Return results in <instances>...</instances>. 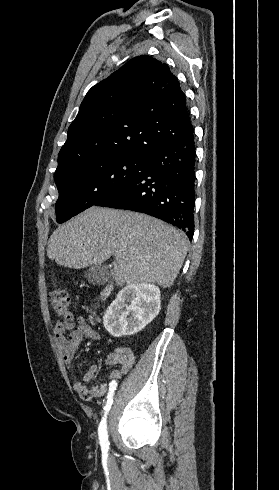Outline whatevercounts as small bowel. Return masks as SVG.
I'll use <instances>...</instances> for the list:
<instances>
[{"label":"small bowel","instance_id":"1","mask_svg":"<svg viewBox=\"0 0 279 490\" xmlns=\"http://www.w3.org/2000/svg\"><path fill=\"white\" fill-rule=\"evenodd\" d=\"M52 332L68 368H73L74 355L85 339L100 340L98 331L83 317H79L76 321L56 320L53 323ZM107 362L117 368L109 374L105 382L93 387L87 385L94 379L98 371L97 364H92L81 378L74 380L73 389L82 399L100 398L109 389L116 388L122 376L127 374L135 364V355L131 349L119 346L108 356Z\"/></svg>","mask_w":279,"mask_h":490}]
</instances>
